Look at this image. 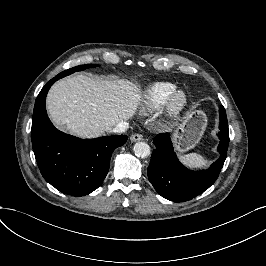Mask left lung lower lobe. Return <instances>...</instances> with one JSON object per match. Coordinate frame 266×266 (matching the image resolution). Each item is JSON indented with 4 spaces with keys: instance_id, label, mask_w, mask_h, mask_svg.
Returning a JSON list of instances; mask_svg holds the SVG:
<instances>
[{
    "instance_id": "obj_1",
    "label": "left lung lower lobe",
    "mask_w": 266,
    "mask_h": 266,
    "mask_svg": "<svg viewBox=\"0 0 266 266\" xmlns=\"http://www.w3.org/2000/svg\"><path fill=\"white\" fill-rule=\"evenodd\" d=\"M219 114L220 143L217 149L220 157L206 170L193 171L185 168L173 151L168 133H161L154 138L156 149L151 156L148 178L162 197L174 202L188 201L203 193L216 181L226 159L229 144L228 122L223 106Z\"/></svg>"
}]
</instances>
